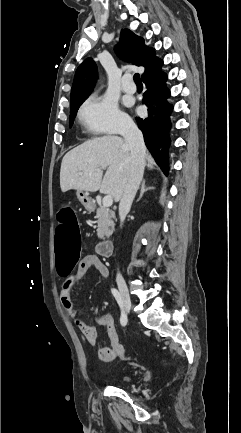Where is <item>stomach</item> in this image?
Listing matches in <instances>:
<instances>
[{
    "instance_id": "0dacf381",
    "label": "stomach",
    "mask_w": 241,
    "mask_h": 433,
    "mask_svg": "<svg viewBox=\"0 0 241 433\" xmlns=\"http://www.w3.org/2000/svg\"><path fill=\"white\" fill-rule=\"evenodd\" d=\"M78 200L85 207L86 210L91 211L93 209V202L89 197V194L84 191H77L76 193Z\"/></svg>"
}]
</instances>
